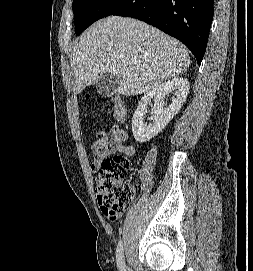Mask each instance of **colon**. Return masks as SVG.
Listing matches in <instances>:
<instances>
[{"instance_id":"obj_1","label":"colon","mask_w":253,"mask_h":271,"mask_svg":"<svg viewBox=\"0 0 253 271\" xmlns=\"http://www.w3.org/2000/svg\"><path fill=\"white\" fill-rule=\"evenodd\" d=\"M115 119L125 121L127 109L119 96L112 97ZM129 161L121 155L104 158L96 175V193L102 211L111 221L117 220L131 203L135 188L125 181Z\"/></svg>"}]
</instances>
